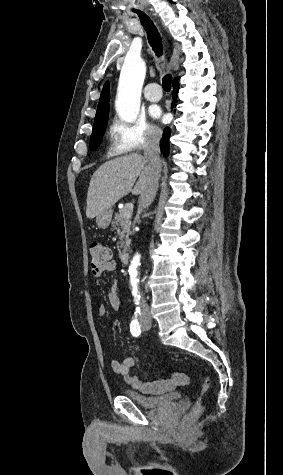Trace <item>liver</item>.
<instances>
[{"label": "liver", "instance_id": "liver-1", "mask_svg": "<svg viewBox=\"0 0 283 475\" xmlns=\"http://www.w3.org/2000/svg\"><path fill=\"white\" fill-rule=\"evenodd\" d=\"M147 162L141 154H129L105 162L94 172L87 194L86 216L93 220L103 210H110L127 194H144L148 182ZM139 176L138 182H136ZM136 186L132 190L134 184Z\"/></svg>", "mask_w": 283, "mask_h": 475}]
</instances>
